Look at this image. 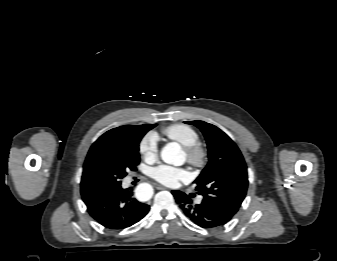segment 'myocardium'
Here are the masks:
<instances>
[{
  "label": "myocardium",
  "instance_id": "myocardium-1",
  "mask_svg": "<svg viewBox=\"0 0 337 261\" xmlns=\"http://www.w3.org/2000/svg\"><path fill=\"white\" fill-rule=\"evenodd\" d=\"M185 153L188 163L196 168H203L208 162V151L200 143L185 147Z\"/></svg>",
  "mask_w": 337,
  "mask_h": 261
}]
</instances>
